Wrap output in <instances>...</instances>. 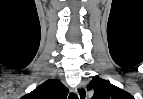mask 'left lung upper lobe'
<instances>
[{
  "mask_svg": "<svg viewBox=\"0 0 143 99\" xmlns=\"http://www.w3.org/2000/svg\"><path fill=\"white\" fill-rule=\"evenodd\" d=\"M88 89L94 92L92 99H134L131 94L99 77L91 80Z\"/></svg>",
  "mask_w": 143,
  "mask_h": 99,
  "instance_id": "obj_1",
  "label": "left lung upper lobe"
}]
</instances>
